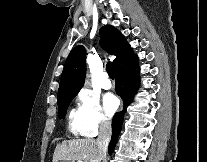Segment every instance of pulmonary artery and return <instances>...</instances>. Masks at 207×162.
<instances>
[{"mask_svg": "<svg viewBox=\"0 0 207 162\" xmlns=\"http://www.w3.org/2000/svg\"><path fill=\"white\" fill-rule=\"evenodd\" d=\"M100 86L105 90L111 89L112 83H111L107 73H103L101 75Z\"/></svg>", "mask_w": 207, "mask_h": 162, "instance_id": "pulmonary-artery-1", "label": "pulmonary artery"}]
</instances>
